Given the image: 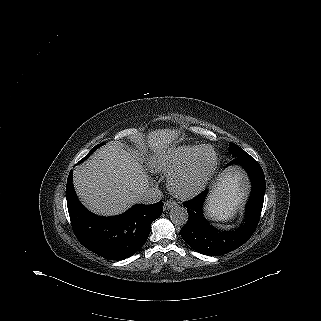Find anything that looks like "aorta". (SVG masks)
Returning a JSON list of instances; mask_svg holds the SVG:
<instances>
[{"label": "aorta", "instance_id": "aorta-1", "mask_svg": "<svg viewBox=\"0 0 321 321\" xmlns=\"http://www.w3.org/2000/svg\"><path fill=\"white\" fill-rule=\"evenodd\" d=\"M189 215L185 207L174 206L170 211V219L173 224L184 226L188 221Z\"/></svg>", "mask_w": 321, "mask_h": 321}]
</instances>
